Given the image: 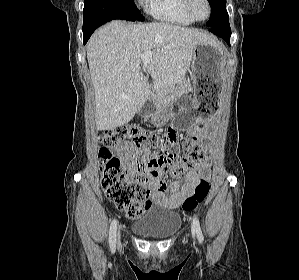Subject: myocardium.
<instances>
[{
	"label": "myocardium",
	"instance_id": "myocardium-1",
	"mask_svg": "<svg viewBox=\"0 0 299 280\" xmlns=\"http://www.w3.org/2000/svg\"><path fill=\"white\" fill-rule=\"evenodd\" d=\"M183 2H184L183 6H184L185 12L189 15V17L194 22H203V21H206L210 17L211 4H210L209 0H203V2L206 4V7H207V14L203 19L196 17V15L194 14V11H193L194 0H183Z\"/></svg>",
	"mask_w": 299,
	"mask_h": 280
}]
</instances>
